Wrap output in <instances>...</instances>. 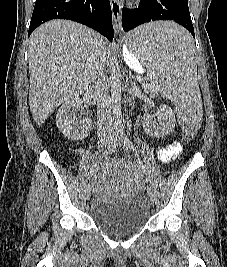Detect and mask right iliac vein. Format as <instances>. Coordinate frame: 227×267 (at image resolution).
Instances as JSON below:
<instances>
[{
    "mask_svg": "<svg viewBox=\"0 0 227 267\" xmlns=\"http://www.w3.org/2000/svg\"><path fill=\"white\" fill-rule=\"evenodd\" d=\"M100 141H101V144H102L103 147H108L110 145V139L107 136L101 137ZM85 197H86L87 200L90 199V197H91V187H90V185H88V187L86 189Z\"/></svg>",
    "mask_w": 227,
    "mask_h": 267,
    "instance_id": "63e3f726",
    "label": "right iliac vein"
}]
</instances>
